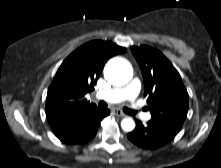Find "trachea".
<instances>
[{
	"instance_id": "3493384b",
	"label": "trachea",
	"mask_w": 221,
	"mask_h": 168,
	"mask_svg": "<svg viewBox=\"0 0 221 168\" xmlns=\"http://www.w3.org/2000/svg\"><path fill=\"white\" fill-rule=\"evenodd\" d=\"M98 105H99V107H101V108H106V107H107V103L104 102V101H99ZM123 111H124L125 113L129 114V115H134V114H135L134 111H132V110H130V109H128V108H124Z\"/></svg>"
}]
</instances>
